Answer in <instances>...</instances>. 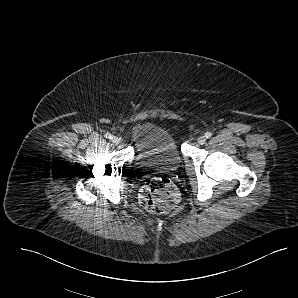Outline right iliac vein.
<instances>
[{"label": "right iliac vein", "instance_id": "1", "mask_svg": "<svg viewBox=\"0 0 298 298\" xmlns=\"http://www.w3.org/2000/svg\"><path fill=\"white\" fill-rule=\"evenodd\" d=\"M111 140H112V142L114 143V144H119V142H120V139L117 137V136H113L112 138H111Z\"/></svg>", "mask_w": 298, "mask_h": 298}]
</instances>
